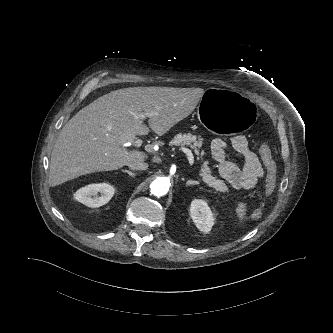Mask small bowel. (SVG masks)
I'll return each instance as SVG.
<instances>
[{
	"label": "small bowel",
	"instance_id": "obj_1",
	"mask_svg": "<svg viewBox=\"0 0 333 333\" xmlns=\"http://www.w3.org/2000/svg\"><path fill=\"white\" fill-rule=\"evenodd\" d=\"M230 152L241 158V166L230 159ZM211 154L218 163L220 176L238 192L253 190L265 175L266 163L250 150L246 138L242 135L228 140L215 139L211 144Z\"/></svg>",
	"mask_w": 333,
	"mask_h": 333
}]
</instances>
